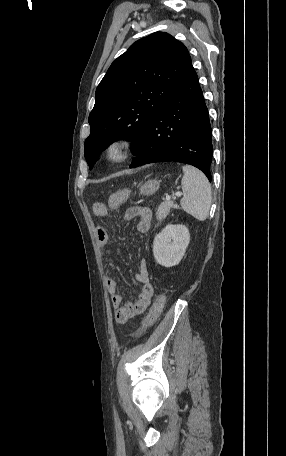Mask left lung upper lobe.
I'll list each match as a JSON object with an SVG mask.
<instances>
[{"label": "left lung upper lobe", "mask_w": 286, "mask_h": 456, "mask_svg": "<svg viewBox=\"0 0 286 456\" xmlns=\"http://www.w3.org/2000/svg\"><path fill=\"white\" fill-rule=\"evenodd\" d=\"M192 65L185 45L164 32L133 43L113 61L95 92L84 144L92 169L99 154L117 139L141 142L152 119Z\"/></svg>", "instance_id": "5c2ea615"}]
</instances>
